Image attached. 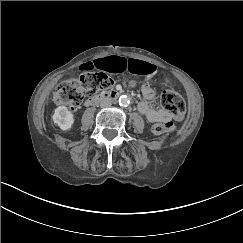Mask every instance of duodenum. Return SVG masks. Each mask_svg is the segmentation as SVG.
Instances as JSON below:
<instances>
[{
    "mask_svg": "<svg viewBox=\"0 0 243 243\" xmlns=\"http://www.w3.org/2000/svg\"><path fill=\"white\" fill-rule=\"evenodd\" d=\"M120 96V92L116 91V90H111V91H107V92H103L101 94L92 96L90 98H88L85 101V105L86 106H93L96 105L102 101H112L117 99Z\"/></svg>",
    "mask_w": 243,
    "mask_h": 243,
    "instance_id": "1",
    "label": "duodenum"
}]
</instances>
